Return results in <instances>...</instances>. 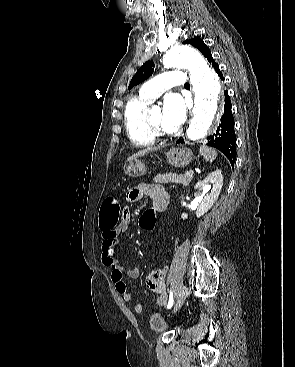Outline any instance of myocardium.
Wrapping results in <instances>:
<instances>
[{
    "instance_id": "1",
    "label": "myocardium",
    "mask_w": 295,
    "mask_h": 367,
    "mask_svg": "<svg viewBox=\"0 0 295 367\" xmlns=\"http://www.w3.org/2000/svg\"><path fill=\"white\" fill-rule=\"evenodd\" d=\"M146 123L147 126L150 130V132L155 136V137H163L166 135V132L159 126L155 125L151 119L150 116H146Z\"/></svg>"
}]
</instances>
